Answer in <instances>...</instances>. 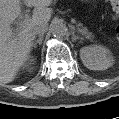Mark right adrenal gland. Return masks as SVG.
<instances>
[{
	"instance_id": "right-adrenal-gland-1",
	"label": "right adrenal gland",
	"mask_w": 119,
	"mask_h": 119,
	"mask_svg": "<svg viewBox=\"0 0 119 119\" xmlns=\"http://www.w3.org/2000/svg\"><path fill=\"white\" fill-rule=\"evenodd\" d=\"M43 40V35H39V38L32 43V47L36 48L37 44L41 45Z\"/></svg>"
}]
</instances>
